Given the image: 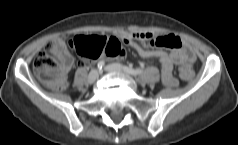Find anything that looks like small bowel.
Returning <instances> with one entry per match:
<instances>
[{"instance_id":"1","label":"small bowel","mask_w":238,"mask_h":145,"mask_svg":"<svg viewBox=\"0 0 238 145\" xmlns=\"http://www.w3.org/2000/svg\"><path fill=\"white\" fill-rule=\"evenodd\" d=\"M114 34L123 44L133 48L141 57L157 59L161 64L162 82L167 87H174L177 84V80L173 76L175 65L190 67V63L195 60L191 46L175 35L155 37L150 32H130L125 29H118ZM55 43L57 44V50L54 55L60 61L59 72L64 76L72 67L74 59L60 39H57ZM147 43L155 47L171 49L173 52L168 53L161 49L148 48L144 45ZM83 63L82 61L81 64Z\"/></svg>"}]
</instances>
